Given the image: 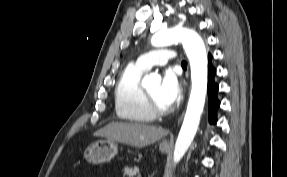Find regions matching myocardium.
<instances>
[{
  "label": "myocardium",
  "mask_w": 287,
  "mask_h": 177,
  "mask_svg": "<svg viewBox=\"0 0 287 177\" xmlns=\"http://www.w3.org/2000/svg\"><path fill=\"white\" fill-rule=\"evenodd\" d=\"M144 96L148 109L154 116H164L172 112V108H162L159 106L147 89H144Z\"/></svg>",
  "instance_id": "myocardium-1"
}]
</instances>
